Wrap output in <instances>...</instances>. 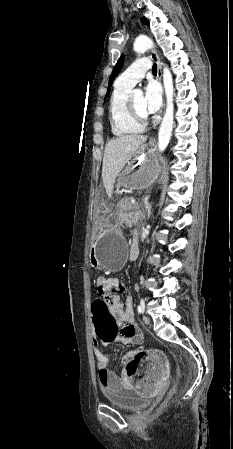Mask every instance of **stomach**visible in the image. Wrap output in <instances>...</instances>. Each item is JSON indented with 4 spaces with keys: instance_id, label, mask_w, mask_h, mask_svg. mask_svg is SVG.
I'll use <instances>...</instances> for the list:
<instances>
[{
    "instance_id": "0dacf381",
    "label": "stomach",
    "mask_w": 233,
    "mask_h": 449,
    "mask_svg": "<svg viewBox=\"0 0 233 449\" xmlns=\"http://www.w3.org/2000/svg\"><path fill=\"white\" fill-rule=\"evenodd\" d=\"M160 166L148 145H142L135 158L117 180V190L145 189L157 178ZM103 210H110L112 203L103 201ZM115 212H95V221H99L98 237L92 242L91 264L96 269L120 270L126 259L127 244L122 233L115 229Z\"/></svg>"
}]
</instances>
